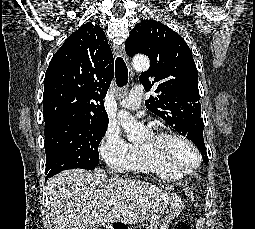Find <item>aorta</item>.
Segmentation results:
<instances>
[{"instance_id": "obj_1", "label": "aorta", "mask_w": 255, "mask_h": 229, "mask_svg": "<svg viewBox=\"0 0 255 229\" xmlns=\"http://www.w3.org/2000/svg\"><path fill=\"white\" fill-rule=\"evenodd\" d=\"M132 66L136 71H145L149 68V60L145 56L134 57ZM118 121L122 125L130 142H139L143 136L142 125L127 111L121 110L118 113Z\"/></svg>"}]
</instances>
